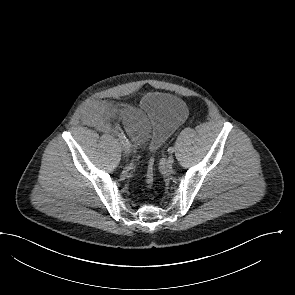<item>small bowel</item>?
<instances>
[{"instance_id":"c3829d8e","label":"small bowel","mask_w":295,"mask_h":295,"mask_svg":"<svg viewBox=\"0 0 295 295\" xmlns=\"http://www.w3.org/2000/svg\"><path fill=\"white\" fill-rule=\"evenodd\" d=\"M84 118L87 123L105 132L111 131L112 121L120 118L125 131L136 144L143 143L148 137L149 121L140 109L97 103L86 111Z\"/></svg>"}]
</instances>
